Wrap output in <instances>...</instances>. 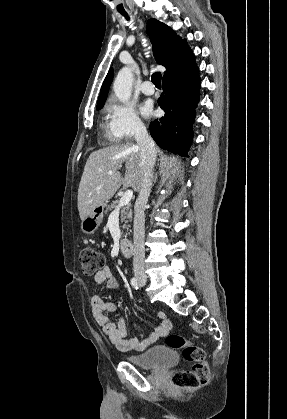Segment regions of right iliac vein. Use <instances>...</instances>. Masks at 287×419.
Segmentation results:
<instances>
[{"label":"right iliac vein","instance_id":"1","mask_svg":"<svg viewBox=\"0 0 287 419\" xmlns=\"http://www.w3.org/2000/svg\"><path fill=\"white\" fill-rule=\"evenodd\" d=\"M139 281L142 282V283H145L146 279L145 278H139Z\"/></svg>","mask_w":287,"mask_h":419}]
</instances>
